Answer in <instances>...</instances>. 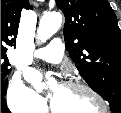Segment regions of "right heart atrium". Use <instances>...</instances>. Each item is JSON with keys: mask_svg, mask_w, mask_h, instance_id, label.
Instances as JSON below:
<instances>
[{"mask_svg": "<svg viewBox=\"0 0 121 113\" xmlns=\"http://www.w3.org/2000/svg\"><path fill=\"white\" fill-rule=\"evenodd\" d=\"M7 102L17 113H40L45 109L44 100L24 83L18 73L9 85Z\"/></svg>", "mask_w": 121, "mask_h": 113, "instance_id": "right-heart-atrium-1", "label": "right heart atrium"}]
</instances>
